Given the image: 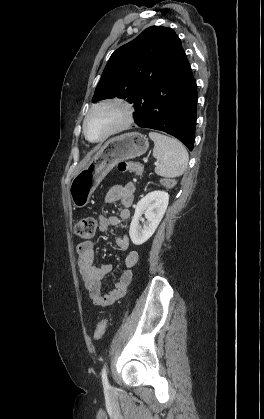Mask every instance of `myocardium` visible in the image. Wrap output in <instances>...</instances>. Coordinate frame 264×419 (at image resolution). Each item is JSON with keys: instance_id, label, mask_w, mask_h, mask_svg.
Wrapping results in <instances>:
<instances>
[{"instance_id": "1", "label": "myocardium", "mask_w": 264, "mask_h": 419, "mask_svg": "<svg viewBox=\"0 0 264 419\" xmlns=\"http://www.w3.org/2000/svg\"><path fill=\"white\" fill-rule=\"evenodd\" d=\"M110 107H117L122 111L123 114V118L122 120L116 124L114 127H112L105 135H103L101 138L93 140L88 136L87 133V123L89 118L91 117V115L100 109H104V108H110ZM134 121V108L132 106V104L122 98V97H110V98H106L103 99L97 103H95L90 110L88 111V113L86 114L84 121H83V134L84 137L86 138V140L90 143H101L105 140H107L108 138H110L111 136L118 134L126 129H128L131 124Z\"/></svg>"}]
</instances>
